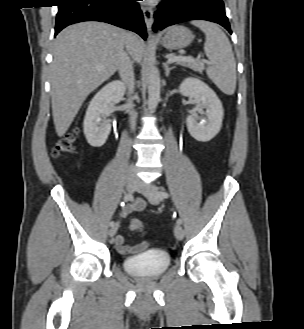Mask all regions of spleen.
Here are the masks:
<instances>
[{"instance_id": "spleen-1", "label": "spleen", "mask_w": 304, "mask_h": 329, "mask_svg": "<svg viewBox=\"0 0 304 329\" xmlns=\"http://www.w3.org/2000/svg\"><path fill=\"white\" fill-rule=\"evenodd\" d=\"M191 24L205 34L204 51L210 61L206 69L208 77L223 93L233 95L236 89V62L228 37L214 23L196 20Z\"/></svg>"}]
</instances>
